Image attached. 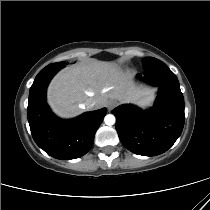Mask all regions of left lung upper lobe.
I'll return each mask as SVG.
<instances>
[{
    "label": "left lung upper lobe",
    "mask_w": 210,
    "mask_h": 210,
    "mask_svg": "<svg viewBox=\"0 0 210 210\" xmlns=\"http://www.w3.org/2000/svg\"><path fill=\"white\" fill-rule=\"evenodd\" d=\"M160 62H162V61H160V60H158V59H156L154 57H147V58L142 59L143 68L144 69H147V68H149L151 66H154V65H156V64H158Z\"/></svg>",
    "instance_id": "5c2ea615"
}]
</instances>
